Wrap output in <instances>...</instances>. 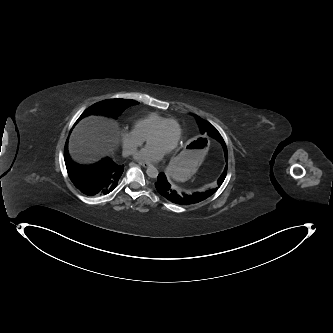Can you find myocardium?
I'll return each instance as SVG.
<instances>
[{
  "instance_id": "myocardium-1",
  "label": "myocardium",
  "mask_w": 333,
  "mask_h": 333,
  "mask_svg": "<svg viewBox=\"0 0 333 333\" xmlns=\"http://www.w3.org/2000/svg\"><path fill=\"white\" fill-rule=\"evenodd\" d=\"M170 123H173V124L176 125L177 130H178V137H177L176 141L172 144V146L168 149V152L173 151V150L177 147L178 142H179L180 125H179V122H178L176 119H174V118H169V119L163 121L162 123H160V124H159V125H158V126H157V127L151 132V133H150V135H149L148 138H147L148 142H150V140H151L154 136H156V135H158L159 133H161V132L163 131V129H164L168 124H170Z\"/></svg>"
}]
</instances>
